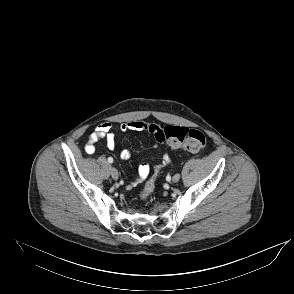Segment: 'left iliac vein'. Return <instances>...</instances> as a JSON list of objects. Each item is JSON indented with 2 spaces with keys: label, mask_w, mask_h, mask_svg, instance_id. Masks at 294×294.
<instances>
[{
  "label": "left iliac vein",
  "mask_w": 294,
  "mask_h": 294,
  "mask_svg": "<svg viewBox=\"0 0 294 294\" xmlns=\"http://www.w3.org/2000/svg\"><path fill=\"white\" fill-rule=\"evenodd\" d=\"M180 180V174H175L173 177H172V182H178Z\"/></svg>",
  "instance_id": "left-iliac-vein-1"
}]
</instances>
